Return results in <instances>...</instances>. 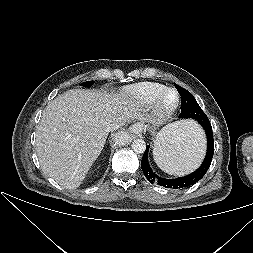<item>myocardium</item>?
Wrapping results in <instances>:
<instances>
[{
  "mask_svg": "<svg viewBox=\"0 0 253 253\" xmlns=\"http://www.w3.org/2000/svg\"><path fill=\"white\" fill-rule=\"evenodd\" d=\"M175 92L176 94V101L167 106L164 102L165 96L168 92ZM180 104V94L175 88H165L155 99L153 103V111L157 121H163L171 116L179 107Z\"/></svg>",
  "mask_w": 253,
  "mask_h": 253,
  "instance_id": "f54148a6",
  "label": "myocardium"
}]
</instances>
